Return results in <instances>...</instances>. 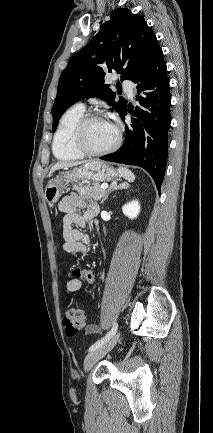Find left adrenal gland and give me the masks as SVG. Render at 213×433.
Here are the masks:
<instances>
[{
    "instance_id": "1",
    "label": "left adrenal gland",
    "mask_w": 213,
    "mask_h": 433,
    "mask_svg": "<svg viewBox=\"0 0 213 433\" xmlns=\"http://www.w3.org/2000/svg\"><path fill=\"white\" fill-rule=\"evenodd\" d=\"M129 187V184L126 182H123L119 185L115 184L113 185V187L110 189V191L108 192V194L105 196V198L101 201V204H103L107 199L108 196L115 190H119V189H127Z\"/></svg>"
}]
</instances>
